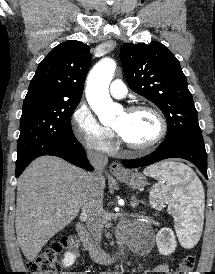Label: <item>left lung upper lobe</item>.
<instances>
[{"mask_svg": "<svg viewBox=\"0 0 215 274\" xmlns=\"http://www.w3.org/2000/svg\"><path fill=\"white\" fill-rule=\"evenodd\" d=\"M120 53L129 87L164 113L168 126L166 140L182 138L203 142L186 77L169 49L157 41L127 43Z\"/></svg>", "mask_w": 215, "mask_h": 274, "instance_id": "obj_1", "label": "left lung upper lobe"}]
</instances>
